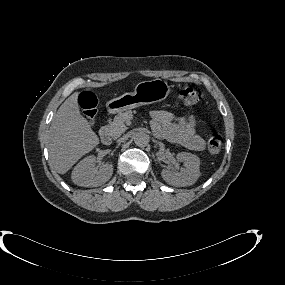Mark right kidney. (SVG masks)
Here are the masks:
<instances>
[{
	"instance_id": "right-kidney-1",
	"label": "right kidney",
	"mask_w": 285,
	"mask_h": 285,
	"mask_svg": "<svg viewBox=\"0 0 285 285\" xmlns=\"http://www.w3.org/2000/svg\"><path fill=\"white\" fill-rule=\"evenodd\" d=\"M113 174V164L106 162L99 170L96 167V157L87 156L81 160L72 171V181L82 187H97L106 183Z\"/></svg>"
}]
</instances>
